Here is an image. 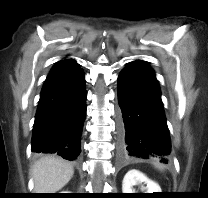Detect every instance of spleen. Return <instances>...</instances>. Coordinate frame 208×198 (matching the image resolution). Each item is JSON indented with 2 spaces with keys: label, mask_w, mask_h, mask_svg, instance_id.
<instances>
[{
  "label": "spleen",
  "mask_w": 208,
  "mask_h": 198,
  "mask_svg": "<svg viewBox=\"0 0 208 198\" xmlns=\"http://www.w3.org/2000/svg\"><path fill=\"white\" fill-rule=\"evenodd\" d=\"M156 167H158L159 169H163V166H161V165H156Z\"/></svg>",
  "instance_id": "1"
}]
</instances>
